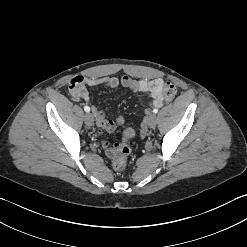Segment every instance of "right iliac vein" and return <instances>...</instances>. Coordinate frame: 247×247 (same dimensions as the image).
Here are the masks:
<instances>
[{
  "label": "right iliac vein",
  "mask_w": 247,
  "mask_h": 247,
  "mask_svg": "<svg viewBox=\"0 0 247 247\" xmlns=\"http://www.w3.org/2000/svg\"><path fill=\"white\" fill-rule=\"evenodd\" d=\"M84 121H85L86 125L92 126L94 124L93 114L92 113L85 114Z\"/></svg>",
  "instance_id": "right-iliac-vein-1"
}]
</instances>
